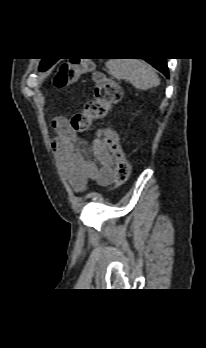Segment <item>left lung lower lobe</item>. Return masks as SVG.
I'll return each mask as SVG.
<instances>
[{"instance_id": "1", "label": "left lung lower lobe", "mask_w": 206, "mask_h": 348, "mask_svg": "<svg viewBox=\"0 0 206 348\" xmlns=\"http://www.w3.org/2000/svg\"><path fill=\"white\" fill-rule=\"evenodd\" d=\"M148 63H150L152 66H154L156 69L161 71L166 77H168V67L166 63V59H144Z\"/></svg>"}]
</instances>
